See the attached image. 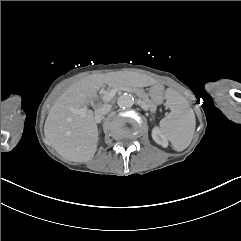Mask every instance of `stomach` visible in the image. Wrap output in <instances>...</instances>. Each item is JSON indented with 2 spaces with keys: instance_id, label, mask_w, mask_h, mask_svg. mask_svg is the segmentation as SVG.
Returning a JSON list of instances; mask_svg holds the SVG:
<instances>
[{
  "instance_id": "obj_1",
  "label": "stomach",
  "mask_w": 241,
  "mask_h": 241,
  "mask_svg": "<svg viewBox=\"0 0 241 241\" xmlns=\"http://www.w3.org/2000/svg\"><path fill=\"white\" fill-rule=\"evenodd\" d=\"M149 96L155 104H161L164 101V86L156 84L149 89Z\"/></svg>"
}]
</instances>
